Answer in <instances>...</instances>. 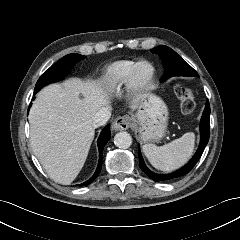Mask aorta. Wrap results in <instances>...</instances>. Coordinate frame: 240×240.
<instances>
[{
	"label": "aorta",
	"instance_id": "aorta-1",
	"mask_svg": "<svg viewBox=\"0 0 240 240\" xmlns=\"http://www.w3.org/2000/svg\"><path fill=\"white\" fill-rule=\"evenodd\" d=\"M114 143L118 148L127 149L132 144V137L128 132H119L114 137Z\"/></svg>",
	"mask_w": 240,
	"mask_h": 240
}]
</instances>
